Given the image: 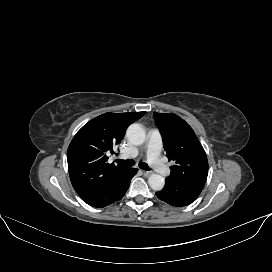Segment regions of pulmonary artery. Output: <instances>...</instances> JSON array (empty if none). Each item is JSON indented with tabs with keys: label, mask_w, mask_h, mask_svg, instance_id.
Masks as SVG:
<instances>
[{
	"label": "pulmonary artery",
	"mask_w": 272,
	"mask_h": 272,
	"mask_svg": "<svg viewBox=\"0 0 272 272\" xmlns=\"http://www.w3.org/2000/svg\"><path fill=\"white\" fill-rule=\"evenodd\" d=\"M162 146L160 133L155 129L150 130L146 142L147 161L159 174L168 176L170 169L160 158Z\"/></svg>",
	"instance_id": "e3ab8cb5"
}]
</instances>
